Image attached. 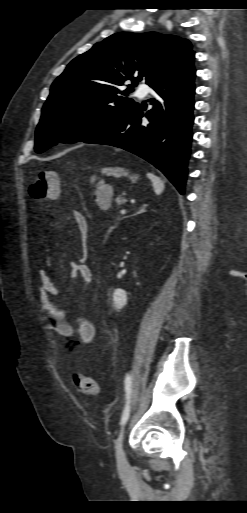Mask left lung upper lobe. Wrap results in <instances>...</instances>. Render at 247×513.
<instances>
[{
    "mask_svg": "<svg viewBox=\"0 0 247 513\" xmlns=\"http://www.w3.org/2000/svg\"><path fill=\"white\" fill-rule=\"evenodd\" d=\"M194 57L187 39L157 32L116 33L73 59L53 82L36 129L35 151L84 142L103 133L138 104L124 98L126 80L151 87ZM165 72V74H164Z\"/></svg>",
    "mask_w": 247,
    "mask_h": 513,
    "instance_id": "obj_1",
    "label": "left lung upper lobe"
}]
</instances>
